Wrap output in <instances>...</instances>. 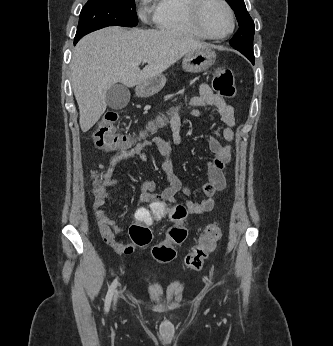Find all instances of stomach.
I'll return each mask as SVG.
<instances>
[{"label": "stomach", "mask_w": 333, "mask_h": 346, "mask_svg": "<svg viewBox=\"0 0 333 346\" xmlns=\"http://www.w3.org/2000/svg\"><path fill=\"white\" fill-rule=\"evenodd\" d=\"M216 60L215 52L209 48H200L185 55L182 61V68L186 72L199 73L209 69ZM164 75L159 74L142 82L136 87L138 97H150L158 93L166 83Z\"/></svg>", "instance_id": "0dacf381"}]
</instances>
